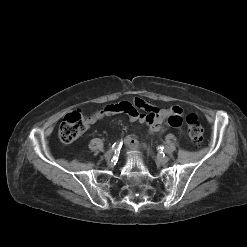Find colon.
<instances>
[{"label": "colon", "instance_id": "5ec220e1", "mask_svg": "<svg viewBox=\"0 0 247 247\" xmlns=\"http://www.w3.org/2000/svg\"><path fill=\"white\" fill-rule=\"evenodd\" d=\"M188 136L194 145H199L203 139V128L197 115L189 114L186 118ZM87 121L84 114L75 110L68 113L59 127V138L63 143L74 142L86 129Z\"/></svg>", "mask_w": 247, "mask_h": 247}]
</instances>
